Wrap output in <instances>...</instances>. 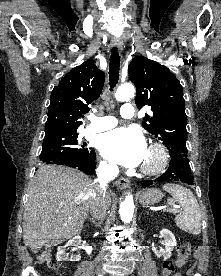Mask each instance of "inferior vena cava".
I'll list each match as a JSON object with an SVG mask.
<instances>
[{"label":"inferior vena cava","instance_id":"inferior-vena-cava-1","mask_svg":"<svg viewBox=\"0 0 221 276\" xmlns=\"http://www.w3.org/2000/svg\"><path fill=\"white\" fill-rule=\"evenodd\" d=\"M118 167L101 163L97 170L96 186L90 203V214L92 220L102 222L105 219L107 210L106 187L107 183L118 175Z\"/></svg>","mask_w":221,"mask_h":276}]
</instances>
